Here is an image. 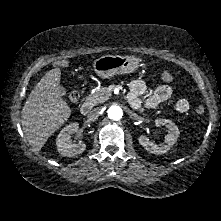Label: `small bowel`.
<instances>
[{"label": "small bowel", "mask_w": 221, "mask_h": 221, "mask_svg": "<svg viewBox=\"0 0 221 221\" xmlns=\"http://www.w3.org/2000/svg\"><path fill=\"white\" fill-rule=\"evenodd\" d=\"M146 92V84L141 80H134L130 83L129 103L136 110L154 109L159 104L169 100L173 95V89L169 85L159 86L152 95L145 100L141 96ZM177 111L184 113L190 108V103L186 98H179L176 101Z\"/></svg>", "instance_id": "small-bowel-1"}]
</instances>
